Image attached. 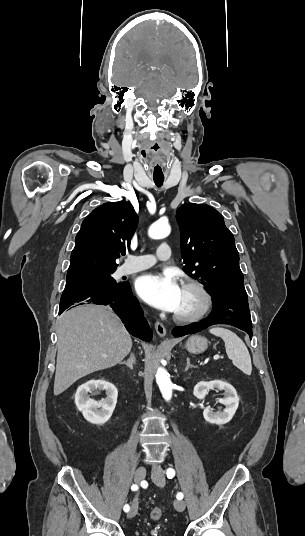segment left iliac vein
Segmentation results:
<instances>
[{
	"label": "left iliac vein",
	"instance_id": "left-iliac-vein-1",
	"mask_svg": "<svg viewBox=\"0 0 305 536\" xmlns=\"http://www.w3.org/2000/svg\"><path fill=\"white\" fill-rule=\"evenodd\" d=\"M152 480L157 486L164 487L165 485L164 471L160 467L153 468ZM174 507L178 511H183L185 509V502L183 500H176L174 502Z\"/></svg>",
	"mask_w": 305,
	"mask_h": 536
}]
</instances>
